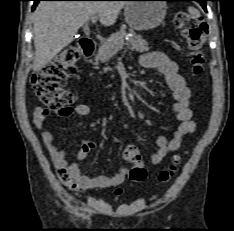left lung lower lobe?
Segmentation results:
<instances>
[{
	"mask_svg": "<svg viewBox=\"0 0 234 231\" xmlns=\"http://www.w3.org/2000/svg\"><path fill=\"white\" fill-rule=\"evenodd\" d=\"M167 1H197L202 5L203 9L206 11L207 10L206 1H209V0H167Z\"/></svg>",
	"mask_w": 234,
	"mask_h": 231,
	"instance_id": "left-lung-lower-lobe-1",
	"label": "left lung lower lobe"
}]
</instances>
